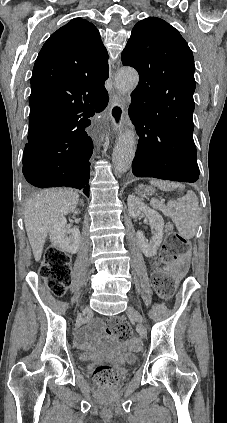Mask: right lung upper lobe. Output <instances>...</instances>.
Returning a JSON list of instances; mask_svg holds the SVG:
<instances>
[{"label":"right lung upper lobe","mask_w":227,"mask_h":423,"mask_svg":"<svg viewBox=\"0 0 227 423\" xmlns=\"http://www.w3.org/2000/svg\"><path fill=\"white\" fill-rule=\"evenodd\" d=\"M108 53L97 28L75 18L43 45L31 77V107L37 104L108 103L104 82ZM70 126L65 119L29 121L28 143L40 142Z\"/></svg>","instance_id":"right-lung-upper-lobe-1"}]
</instances>
